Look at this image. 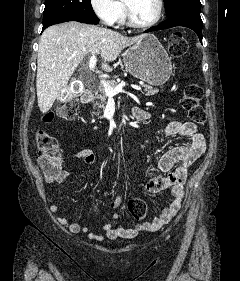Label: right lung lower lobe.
Listing matches in <instances>:
<instances>
[{
    "label": "right lung lower lobe",
    "mask_w": 240,
    "mask_h": 281,
    "mask_svg": "<svg viewBox=\"0 0 240 281\" xmlns=\"http://www.w3.org/2000/svg\"><path fill=\"white\" fill-rule=\"evenodd\" d=\"M67 21H78V22H81V23H87V24H98V21L99 19H74V18H64V19H59V20H56L52 23L53 24H57V23H62V22H67ZM48 26H43V29H46Z\"/></svg>",
    "instance_id": "obj_1"
}]
</instances>
